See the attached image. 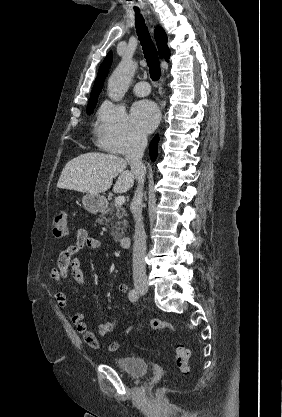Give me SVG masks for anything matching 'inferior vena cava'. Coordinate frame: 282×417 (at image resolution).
I'll use <instances>...</instances> for the list:
<instances>
[{
  "instance_id": "602c4592",
  "label": "inferior vena cava",
  "mask_w": 282,
  "mask_h": 417,
  "mask_svg": "<svg viewBox=\"0 0 282 417\" xmlns=\"http://www.w3.org/2000/svg\"><path fill=\"white\" fill-rule=\"evenodd\" d=\"M147 146V138L144 134L135 132L130 140V146L126 152V160L131 166L135 178L138 180L137 190L134 192L130 204L131 213L135 221V235L133 245V281H147L146 275V233L142 223V186L146 174V166L142 162V156Z\"/></svg>"
}]
</instances>
